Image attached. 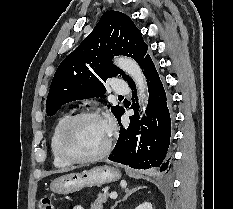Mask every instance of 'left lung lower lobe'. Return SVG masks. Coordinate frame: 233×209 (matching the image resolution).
I'll list each match as a JSON object with an SVG mask.
<instances>
[{"mask_svg": "<svg viewBox=\"0 0 233 209\" xmlns=\"http://www.w3.org/2000/svg\"><path fill=\"white\" fill-rule=\"evenodd\" d=\"M140 67L149 90L147 116L139 120L138 104L133 103L135 114L130 117L129 126L123 127L120 122L124 114L122 109L117 116L121 126L119 139L109 159L136 169L158 168L160 172H165L170 168L171 159L167 155L171 135L169 100L149 54L142 60ZM128 83L132 89V98H135V83L132 79Z\"/></svg>", "mask_w": 233, "mask_h": 209, "instance_id": "obj_1", "label": "left lung lower lobe"}]
</instances>
